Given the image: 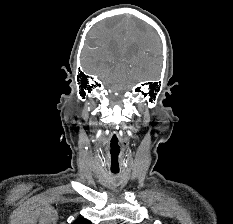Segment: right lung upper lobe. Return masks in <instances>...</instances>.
Masks as SVG:
<instances>
[{"label": "right lung upper lobe", "mask_w": 233, "mask_h": 224, "mask_svg": "<svg viewBox=\"0 0 233 224\" xmlns=\"http://www.w3.org/2000/svg\"><path fill=\"white\" fill-rule=\"evenodd\" d=\"M72 224H91V222L85 218H78Z\"/></svg>", "instance_id": "cb5924a9"}]
</instances>
